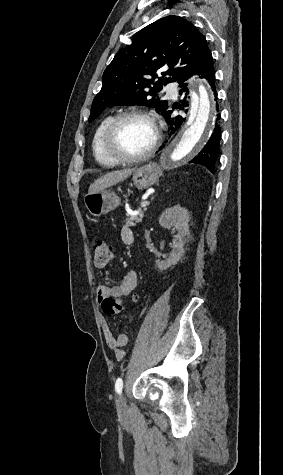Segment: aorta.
Segmentation results:
<instances>
[{"label":"aorta","mask_w":283,"mask_h":475,"mask_svg":"<svg viewBox=\"0 0 283 475\" xmlns=\"http://www.w3.org/2000/svg\"><path fill=\"white\" fill-rule=\"evenodd\" d=\"M199 95L191 92L189 117L171 142L161 153L163 167H171L197 155L205 145L214 127L215 105L209 91L202 82Z\"/></svg>","instance_id":"762f6f07"}]
</instances>
